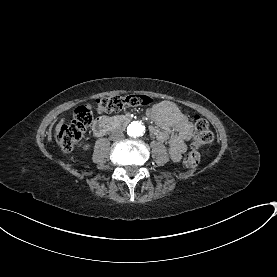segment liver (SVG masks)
Segmentation results:
<instances>
[{
	"mask_svg": "<svg viewBox=\"0 0 277 277\" xmlns=\"http://www.w3.org/2000/svg\"><path fill=\"white\" fill-rule=\"evenodd\" d=\"M66 122V118H62L59 123L56 125V128H55V135L56 137L59 136V133L61 132V129H62V126L65 124Z\"/></svg>",
	"mask_w": 277,
	"mask_h": 277,
	"instance_id": "liver-1",
	"label": "liver"
}]
</instances>
